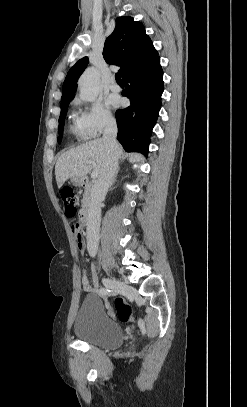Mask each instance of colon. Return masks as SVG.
I'll use <instances>...</instances> for the list:
<instances>
[{
	"instance_id": "colon-1",
	"label": "colon",
	"mask_w": 247,
	"mask_h": 407,
	"mask_svg": "<svg viewBox=\"0 0 247 407\" xmlns=\"http://www.w3.org/2000/svg\"><path fill=\"white\" fill-rule=\"evenodd\" d=\"M60 196L64 204L65 215L68 217H73L76 213L78 198L69 186L63 187L60 190ZM73 231L78 232V225H73ZM114 307L117 317L122 322H132L134 320L133 312L129 304L122 297H117L114 300Z\"/></svg>"
}]
</instances>
